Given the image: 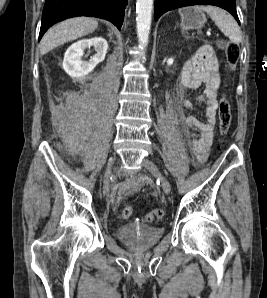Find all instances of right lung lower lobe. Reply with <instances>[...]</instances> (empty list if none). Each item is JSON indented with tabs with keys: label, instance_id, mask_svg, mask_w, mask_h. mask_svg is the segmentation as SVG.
Here are the masks:
<instances>
[{
	"label": "right lung lower lobe",
	"instance_id": "right-lung-lower-lobe-1",
	"mask_svg": "<svg viewBox=\"0 0 267 298\" xmlns=\"http://www.w3.org/2000/svg\"><path fill=\"white\" fill-rule=\"evenodd\" d=\"M126 5L127 0H46L39 40L53 24L76 16L103 18L120 30Z\"/></svg>",
	"mask_w": 267,
	"mask_h": 298
}]
</instances>
